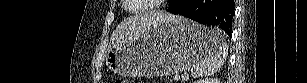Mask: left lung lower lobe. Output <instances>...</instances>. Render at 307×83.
Masks as SVG:
<instances>
[{
    "label": "left lung lower lobe",
    "mask_w": 307,
    "mask_h": 83,
    "mask_svg": "<svg viewBox=\"0 0 307 83\" xmlns=\"http://www.w3.org/2000/svg\"><path fill=\"white\" fill-rule=\"evenodd\" d=\"M234 0H171L166 10L204 25H216L231 36Z\"/></svg>",
    "instance_id": "0a47b994"
}]
</instances>
